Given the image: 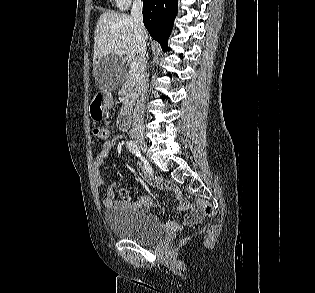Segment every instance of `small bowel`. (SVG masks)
<instances>
[{
  "mask_svg": "<svg viewBox=\"0 0 315 293\" xmlns=\"http://www.w3.org/2000/svg\"><path fill=\"white\" fill-rule=\"evenodd\" d=\"M119 140V137H107L99 152L96 154L93 163V176L95 185L99 188L103 187V179L101 177V167L108 157L111 149ZM141 172L145 175V170L140 167ZM153 184L160 189L171 191L174 195V198L177 202V210L185 212V217L183 218L181 224L170 221L168 226L171 229H180L183 227L192 226L195 223L199 222L201 219L200 213L196 210L193 205L183 199L181 190L174 184L163 180L161 178H155L152 180ZM115 188L116 183H112L105 188L104 195L101 199V203L106 208H112L120 205H128L134 209H137L141 212H147L148 208L153 206L154 202L149 196H141L135 201H131V197L127 190H120L119 196L123 198L121 201L115 200Z\"/></svg>",
  "mask_w": 315,
  "mask_h": 293,
  "instance_id": "small-bowel-1",
  "label": "small bowel"
}]
</instances>
